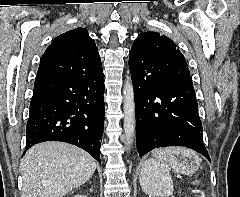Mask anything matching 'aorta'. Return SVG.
Masks as SVG:
<instances>
[{"label": "aorta", "instance_id": "aorta-1", "mask_svg": "<svg viewBox=\"0 0 240 197\" xmlns=\"http://www.w3.org/2000/svg\"><path fill=\"white\" fill-rule=\"evenodd\" d=\"M123 97L124 140L126 146H130L133 142L136 128L134 88L130 78L125 81L123 88Z\"/></svg>", "mask_w": 240, "mask_h": 197}]
</instances>
